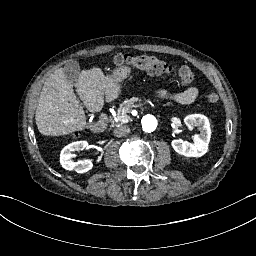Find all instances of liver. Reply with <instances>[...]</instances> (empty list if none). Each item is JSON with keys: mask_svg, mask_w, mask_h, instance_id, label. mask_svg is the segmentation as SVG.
I'll use <instances>...</instances> for the list:
<instances>
[{"mask_svg": "<svg viewBox=\"0 0 256 256\" xmlns=\"http://www.w3.org/2000/svg\"><path fill=\"white\" fill-rule=\"evenodd\" d=\"M122 73L123 69H117L113 75L104 74L99 66L80 71L74 86L89 112L99 113L105 101L112 103L121 97L124 92ZM35 122L40 134L45 136H64L86 128L85 111L73 91V82L66 78L63 67L57 68L44 83Z\"/></svg>", "mask_w": 256, "mask_h": 256, "instance_id": "obj_1", "label": "liver"}]
</instances>
